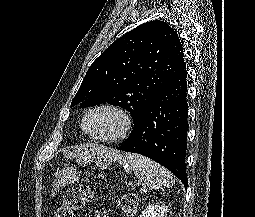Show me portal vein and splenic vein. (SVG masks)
Wrapping results in <instances>:
<instances>
[{
  "instance_id": "portal-vein-and-splenic-vein-1",
  "label": "portal vein and splenic vein",
  "mask_w": 255,
  "mask_h": 217,
  "mask_svg": "<svg viewBox=\"0 0 255 217\" xmlns=\"http://www.w3.org/2000/svg\"><path fill=\"white\" fill-rule=\"evenodd\" d=\"M134 190H135V189H134ZM141 191H142V192H145V191H146V188L143 187V188L141 189Z\"/></svg>"
}]
</instances>
